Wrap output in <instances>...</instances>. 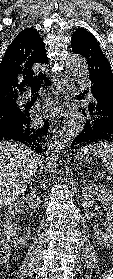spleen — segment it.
Masks as SVG:
<instances>
[{
	"instance_id": "3e777b00",
	"label": "spleen",
	"mask_w": 113,
	"mask_h": 279,
	"mask_svg": "<svg viewBox=\"0 0 113 279\" xmlns=\"http://www.w3.org/2000/svg\"><path fill=\"white\" fill-rule=\"evenodd\" d=\"M85 154L97 155L108 172L113 175V144L108 142L97 143L93 145H88L82 148Z\"/></svg>"
}]
</instances>
